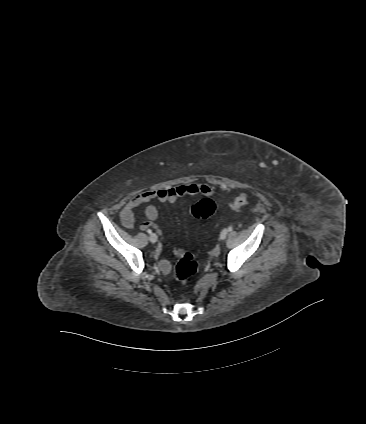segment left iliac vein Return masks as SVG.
<instances>
[{
  "instance_id": "4c4485c4",
  "label": "left iliac vein",
  "mask_w": 366,
  "mask_h": 424,
  "mask_svg": "<svg viewBox=\"0 0 366 424\" xmlns=\"http://www.w3.org/2000/svg\"><path fill=\"white\" fill-rule=\"evenodd\" d=\"M228 234V230L227 229H223L220 233V239L224 240L227 237Z\"/></svg>"
}]
</instances>
